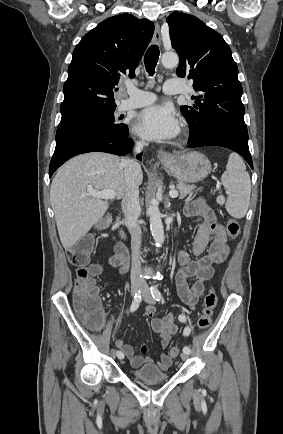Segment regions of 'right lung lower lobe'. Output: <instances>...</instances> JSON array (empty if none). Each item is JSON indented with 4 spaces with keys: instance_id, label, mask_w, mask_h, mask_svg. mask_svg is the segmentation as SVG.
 Returning a JSON list of instances; mask_svg holds the SVG:
<instances>
[{
    "instance_id": "obj_1",
    "label": "right lung lower lobe",
    "mask_w": 283,
    "mask_h": 434,
    "mask_svg": "<svg viewBox=\"0 0 283 434\" xmlns=\"http://www.w3.org/2000/svg\"><path fill=\"white\" fill-rule=\"evenodd\" d=\"M129 132L120 133L109 130H94L73 135L59 143L49 166V176L68 159L87 152H106L124 156L131 151L133 141L128 137ZM142 154L137 155L141 160Z\"/></svg>"
}]
</instances>
